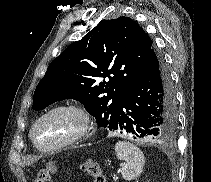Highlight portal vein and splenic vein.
Masks as SVG:
<instances>
[{"label": "portal vein and splenic vein", "instance_id": "18ae733b", "mask_svg": "<svg viewBox=\"0 0 211 182\" xmlns=\"http://www.w3.org/2000/svg\"><path fill=\"white\" fill-rule=\"evenodd\" d=\"M113 179H114V180H117V179H118V177H117L116 175H114V176H113Z\"/></svg>", "mask_w": 211, "mask_h": 182}]
</instances>
